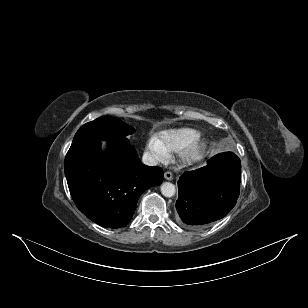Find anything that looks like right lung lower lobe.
Here are the masks:
<instances>
[{"instance_id":"1","label":"right lung lower lobe","mask_w":308,"mask_h":308,"mask_svg":"<svg viewBox=\"0 0 308 308\" xmlns=\"http://www.w3.org/2000/svg\"><path fill=\"white\" fill-rule=\"evenodd\" d=\"M64 169L78 209L113 229L126 226L140 195L163 180V170L142 164L129 143L109 142L106 152L98 141L71 145Z\"/></svg>"}]
</instances>
